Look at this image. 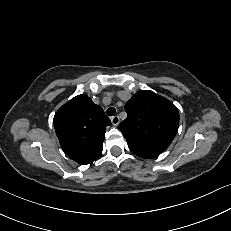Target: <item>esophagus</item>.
<instances>
[{"label": "esophagus", "instance_id": "34e87169", "mask_svg": "<svg viewBox=\"0 0 231 231\" xmlns=\"http://www.w3.org/2000/svg\"><path fill=\"white\" fill-rule=\"evenodd\" d=\"M111 123L114 125V126H117L119 123H120V118L118 116H113L111 118Z\"/></svg>", "mask_w": 231, "mask_h": 231}]
</instances>
